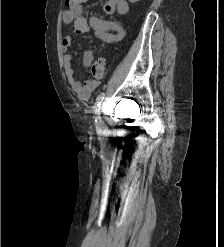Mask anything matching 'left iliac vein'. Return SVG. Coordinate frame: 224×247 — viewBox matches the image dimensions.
Returning <instances> with one entry per match:
<instances>
[{
    "instance_id": "1",
    "label": "left iliac vein",
    "mask_w": 224,
    "mask_h": 247,
    "mask_svg": "<svg viewBox=\"0 0 224 247\" xmlns=\"http://www.w3.org/2000/svg\"><path fill=\"white\" fill-rule=\"evenodd\" d=\"M102 124H103V122H102V120H101V124H100V127L102 126Z\"/></svg>"
}]
</instances>
